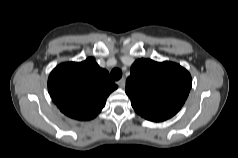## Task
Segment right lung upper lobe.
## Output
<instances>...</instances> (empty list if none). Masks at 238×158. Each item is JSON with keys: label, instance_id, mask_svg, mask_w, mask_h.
<instances>
[{"label": "right lung upper lobe", "instance_id": "1", "mask_svg": "<svg viewBox=\"0 0 238 158\" xmlns=\"http://www.w3.org/2000/svg\"><path fill=\"white\" fill-rule=\"evenodd\" d=\"M117 88L109 73L93 57L58 65L48 79V91L57 107L70 118L90 120Z\"/></svg>", "mask_w": 238, "mask_h": 158}]
</instances>
